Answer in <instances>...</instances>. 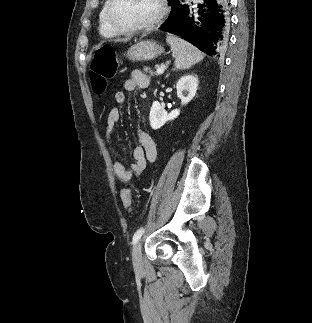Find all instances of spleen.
I'll return each mask as SVG.
<instances>
[{
  "label": "spleen",
  "mask_w": 312,
  "mask_h": 323,
  "mask_svg": "<svg viewBox=\"0 0 312 323\" xmlns=\"http://www.w3.org/2000/svg\"><path fill=\"white\" fill-rule=\"evenodd\" d=\"M166 42L171 46L172 56L176 58L175 66L178 70H189L191 66L198 64L204 58V54L200 50L174 34H167Z\"/></svg>",
  "instance_id": "1"
}]
</instances>
